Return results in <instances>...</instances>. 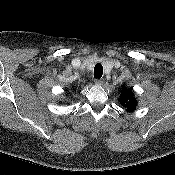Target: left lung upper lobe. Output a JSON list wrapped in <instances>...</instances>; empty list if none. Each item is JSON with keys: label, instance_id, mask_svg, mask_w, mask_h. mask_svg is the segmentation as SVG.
<instances>
[{"label": "left lung upper lobe", "instance_id": "5c2ea615", "mask_svg": "<svg viewBox=\"0 0 175 175\" xmlns=\"http://www.w3.org/2000/svg\"><path fill=\"white\" fill-rule=\"evenodd\" d=\"M121 105H123L127 111H134L137 105L136 99L133 96L132 89L124 88L119 99Z\"/></svg>", "mask_w": 175, "mask_h": 175}]
</instances>
